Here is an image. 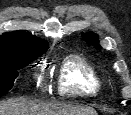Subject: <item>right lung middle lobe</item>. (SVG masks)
Segmentation results:
<instances>
[{
  "label": "right lung middle lobe",
  "mask_w": 131,
  "mask_h": 115,
  "mask_svg": "<svg viewBox=\"0 0 131 115\" xmlns=\"http://www.w3.org/2000/svg\"><path fill=\"white\" fill-rule=\"evenodd\" d=\"M41 54L28 53L12 59L7 66H0V97L5 95L14 85L18 77L17 70L37 59Z\"/></svg>",
  "instance_id": "dd1d6c3e"
}]
</instances>
